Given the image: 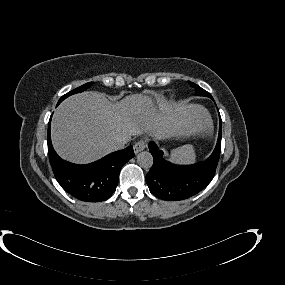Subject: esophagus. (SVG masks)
Here are the masks:
<instances>
[{
	"mask_svg": "<svg viewBox=\"0 0 285 285\" xmlns=\"http://www.w3.org/2000/svg\"><path fill=\"white\" fill-rule=\"evenodd\" d=\"M145 148H146V141L145 140H139L133 146L135 154H138L139 152L143 151Z\"/></svg>",
	"mask_w": 285,
	"mask_h": 285,
	"instance_id": "1",
	"label": "esophagus"
}]
</instances>
